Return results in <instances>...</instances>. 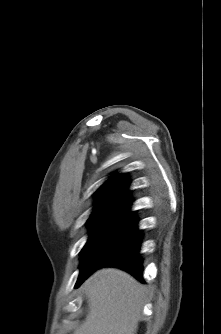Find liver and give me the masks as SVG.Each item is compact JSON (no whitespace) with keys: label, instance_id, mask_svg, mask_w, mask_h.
Listing matches in <instances>:
<instances>
[{"label":"liver","instance_id":"6515ba94","mask_svg":"<svg viewBox=\"0 0 221 334\" xmlns=\"http://www.w3.org/2000/svg\"><path fill=\"white\" fill-rule=\"evenodd\" d=\"M89 312L73 334H136L146 289L130 274L102 268L84 283Z\"/></svg>","mask_w":221,"mask_h":334}]
</instances>
